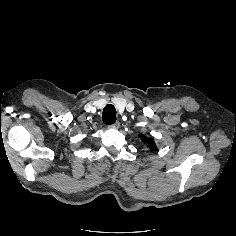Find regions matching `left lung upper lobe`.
<instances>
[{"label": "left lung upper lobe", "mask_w": 236, "mask_h": 236, "mask_svg": "<svg viewBox=\"0 0 236 236\" xmlns=\"http://www.w3.org/2000/svg\"><path fill=\"white\" fill-rule=\"evenodd\" d=\"M139 137H141V140L143 142H146L147 144V147L150 149V150H156V145H155V142H154V139L153 138H146L144 136H141L139 135Z\"/></svg>", "instance_id": "1"}]
</instances>
